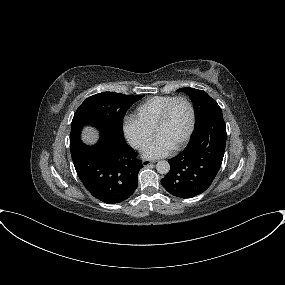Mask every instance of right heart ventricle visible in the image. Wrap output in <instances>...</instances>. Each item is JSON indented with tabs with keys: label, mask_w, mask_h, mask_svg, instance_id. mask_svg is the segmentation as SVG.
<instances>
[{
	"label": "right heart ventricle",
	"mask_w": 285,
	"mask_h": 285,
	"mask_svg": "<svg viewBox=\"0 0 285 285\" xmlns=\"http://www.w3.org/2000/svg\"><path fill=\"white\" fill-rule=\"evenodd\" d=\"M174 98V96H155L137 105L134 116L149 129H154L158 117L164 107Z\"/></svg>",
	"instance_id": "e07e8e85"
}]
</instances>
